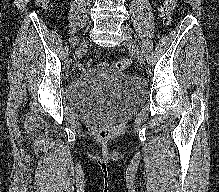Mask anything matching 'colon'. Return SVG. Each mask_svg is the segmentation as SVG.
<instances>
[{
    "instance_id": "1",
    "label": "colon",
    "mask_w": 219,
    "mask_h": 192,
    "mask_svg": "<svg viewBox=\"0 0 219 192\" xmlns=\"http://www.w3.org/2000/svg\"><path fill=\"white\" fill-rule=\"evenodd\" d=\"M177 0H164L160 12L163 19V23L169 24L172 19V11L175 8ZM34 3L44 9H50L53 4L52 0H34ZM92 62L89 63L91 65ZM132 64V59L125 57L118 61L112 62L111 65L119 71H124Z\"/></svg>"
}]
</instances>
